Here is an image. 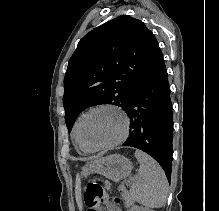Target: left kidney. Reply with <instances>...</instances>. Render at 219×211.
Listing matches in <instances>:
<instances>
[{
  "label": "left kidney",
  "instance_id": "1",
  "mask_svg": "<svg viewBox=\"0 0 219 211\" xmlns=\"http://www.w3.org/2000/svg\"><path fill=\"white\" fill-rule=\"evenodd\" d=\"M131 211H151V209H148V207H140V205H133Z\"/></svg>",
  "mask_w": 219,
  "mask_h": 211
}]
</instances>
